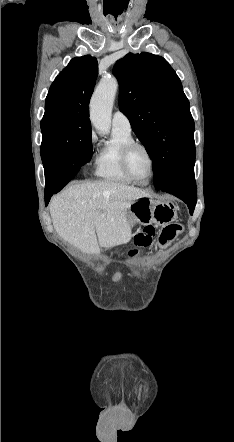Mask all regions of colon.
Masks as SVG:
<instances>
[{"mask_svg":"<svg viewBox=\"0 0 234 442\" xmlns=\"http://www.w3.org/2000/svg\"><path fill=\"white\" fill-rule=\"evenodd\" d=\"M182 226L177 223L168 224L162 228L158 236V243L160 246H166L170 243L180 232ZM155 228L151 225L146 226L141 232L134 237V242L137 247H147L152 243L155 235ZM132 251L131 253H134Z\"/></svg>","mask_w":234,"mask_h":442,"instance_id":"1","label":"colon"}]
</instances>
